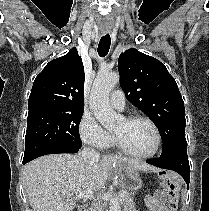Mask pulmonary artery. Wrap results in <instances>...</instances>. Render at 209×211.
Masks as SVG:
<instances>
[{"label":"pulmonary artery","instance_id":"e3ab8cb5","mask_svg":"<svg viewBox=\"0 0 209 211\" xmlns=\"http://www.w3.org/2000/svg\"><path fill=\"white\" fill-rule=\"evenodd\" d=\"M110 104L116 110H123L125 107V97L121 90H116L110 95Z\"/></svg>","mask_w":209,"mask_h":211}]
</instances>
